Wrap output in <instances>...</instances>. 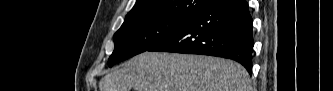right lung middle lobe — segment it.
<instances>
[{
  "instance_id": "right-lung-middle-lobe-1",
  "label": "right lung middle lobe",
  "mask_w": 333,
  "mask_h": 91,
  "mask_svg": "<svg viewBox=\"0 0 333 91\" xmlns=\"http://www.w3.org/2000/svg\"><path fill=\"white\" fill-rule=\"evenodd\" d=\"M216 0H205L202 7H209ZM193 17L153 15L133 18L124 22L114 34L115 48L108 60L109 67L148 51L186 25Z\"/></svg>"
}]
</instances>
